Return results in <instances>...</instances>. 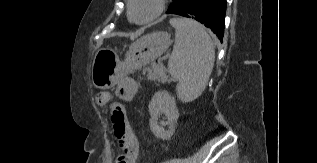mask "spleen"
Masks as SVG:
<instances>
[{"mask_svg":"<svg viewBox=\"0 0 317 163\" xmlns=\"http://www.w3.org/2000/svg\"><path fill=\"white\" fill-rule=\"evenodd\" d=\"M170 24L176 33L168 70L178 80V98L191 102L206 88L215 61L214 44L202 25L192 19L176 17Z\"/></svg>","mask_w":317,"mask_h":163,"instance_id":"3e777b00","label":"spleen"}]
</instances>
